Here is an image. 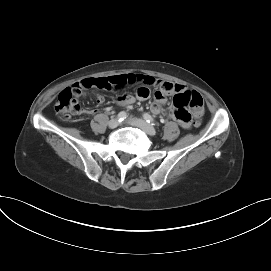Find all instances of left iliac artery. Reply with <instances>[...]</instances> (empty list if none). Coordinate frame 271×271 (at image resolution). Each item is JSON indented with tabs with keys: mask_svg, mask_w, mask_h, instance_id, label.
I'll use <instances>...</instances> for the list:
<instances>
[{
	"mask_svg": "<svg viewBox=\"0 0 271 271\" xmlns=\"http://www.w3.org/2000/svg\"><path fill=\"white\" fill-rule=\"evenodd\" d=\"M143 117L148 123H150L151 125H155V120L151 115H149L148 113H144Z\"/></svg>",
	"mask_w": 271,
	"mask_h": 271,
	"instance_id": "44dca946",
	"label": "left iliac artery"
}]
</instances>
